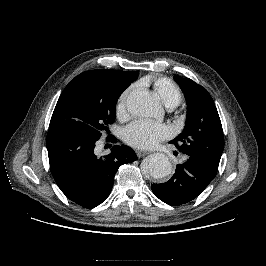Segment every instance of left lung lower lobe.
<instances>
[{"instance_id": "1", "label": "left lung lower lobe", "mask_w": 266, "mask_h": 266, "mask_svg": "<svg viewBox=\"0 0 266 266\" xmlns=\"http://www.w3.org/2000/svg\"><path fill=\"white\" fill-rule=\"evenodd\" d=\"M218 167L188 156L177 166L172 178L163 184H152L153 193L163 202L176 206L196 198L213 180Z\"/></svg>"}]
</instances>
